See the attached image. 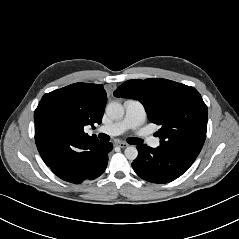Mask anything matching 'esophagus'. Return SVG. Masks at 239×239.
Masks as SVG:
<instances>
[{
    "mask_svg": "<svg viewBox=\"0 0 239 239\" xmlns=\"http://www.w3.org/2000/svg\"><path fill=\"white\" fill-rule=\"evenodd\" d=\"M117 146H119L120 148H126L128 146V144L125 142H118Z\"/></svg>",
    "mask_w": 239,
    "mask_h": 239,
    "instance_id": "34e87169",
    "label": "esophagus"
}]
</instances>
